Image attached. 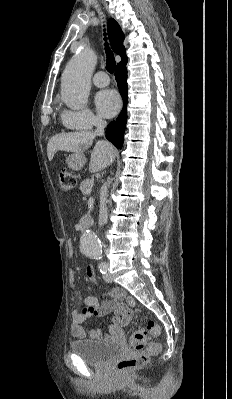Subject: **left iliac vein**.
<instances>
[{"label": "left iliac vein", "mask_w": 232, "mask_h": 399, "mask_svg": "<svg viewBox=\"0 0 232 399\" xmlns=\"http://www.w3.org/2000/svg\"><path fill=\"white\" fill-rule=\"evenodd\" d=\"M103 281H105V283H112V275L106 274L105 276H103Z\"/></svg>", "instance_id": "left-iliac-vein-1"}]
</instances>
